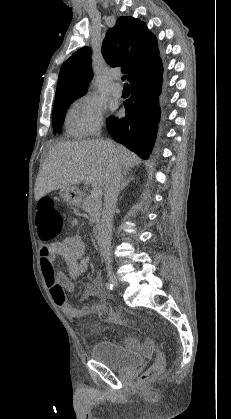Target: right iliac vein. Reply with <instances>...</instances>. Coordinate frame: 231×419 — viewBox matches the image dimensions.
Instances as JSON below:
<instances>
[{
  "instance_id": "63e3f726",
  "label": "right iliac vein",
  "mask_w": 231,
  "mask_h": 419,
  "mask_svg": "<svg viewBox=\"0 0 231 419\" xmlns=\"http://www.w3.org/2000/svg\"><path fill=\"white\" fill-rule=\"evenodd\" d=\"M108 277H109V280L114 284V285H118V279H117V277L115 276V274L113 273V271L112 270H108Z\"/></svg>"
}]
</instances>
